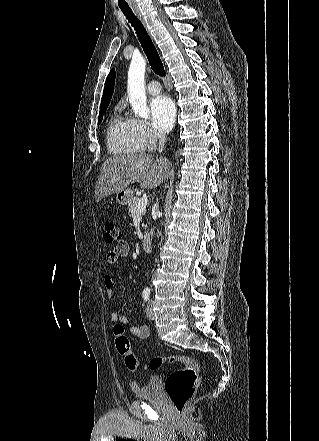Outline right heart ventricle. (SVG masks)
I'll return each instance as SVG.
<instances>
[{
  "label": "right heart ventricle",
  "instance_id": "obj_1",
  "mask_svg": "<svg viewBox=\"0 0 319 441\" xmlns=\"http://www.w3.org/2000/svg\"><path fill=\"white\" fill-rule=\"evenodd\" d=\"M107 147L112 154L133 155L140 152L132 134L131 120L114 111L107 126Z\"/></svg>",
  "mask_w": 319,
  "mask_h": 441
}]
</instances>
